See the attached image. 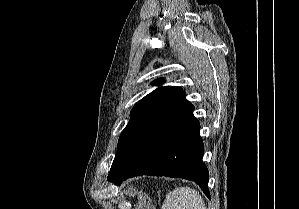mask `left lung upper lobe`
I'll return each mask as SVG.
<instances>
[{
	"label": "left lung upper lobe",
	"instance_id": "1",
	"mask_svg": "<svg viewBox=\"0 0 299 209\" xmlns=\"http://www.w3.org/2000/svg\"><path fill=\"white\" fill-rule=\"evenodd\" d=\"M163 82L164 79L160 78L155 80L153 84L159 85ZM181 91L182 88L175 86L159 87L138 101L131 111V119L120 135L117 152L126 139L137 129L140 124H142L158 108L174 98Z\"/></svg>",
	"mask_w": 299,
	"mask_h": 209
}]
</instances>
